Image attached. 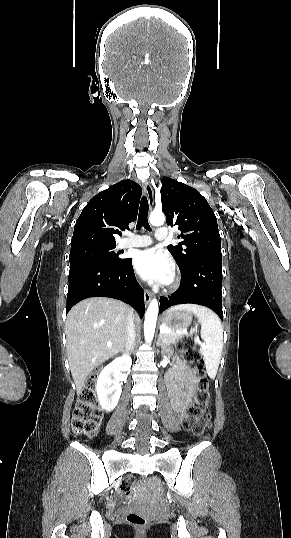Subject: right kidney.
Wrapping results in <instances>:
<instances>
[{
    "label": "right kidney",
    "instance_id": "ca27d5eb",
    "mask_svg": "<svg viewBox=\"0 0 291 538\" xmlns=\"http://www.w3.org/2000/svg\"><path fill=\"white\" fill-rule=\"evenodd\" d=\"M131 365L130 356L124 355L114 359L101 371L96 384V392L99 405L103 410L112 411L118 404L122 393V372L129 371Z\"/></svg>",
    "mask_w": 291,
    "mask_h": 538
}]
</instances>
